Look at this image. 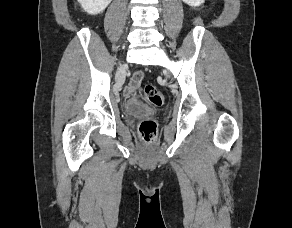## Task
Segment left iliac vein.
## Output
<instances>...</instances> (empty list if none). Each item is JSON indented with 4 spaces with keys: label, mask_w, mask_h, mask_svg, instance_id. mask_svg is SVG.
Returning a JSON list of instances; mask_svg holds the SVG:
<instances>
[{
    "label": "left iliac vein",
    "mask_w": 292,
    "mask_h": 228,
    "mask_svg": "<svg viewBox=\"0 0 292 228\" xmlns=\"http://www.w3.org/2000/svg\"><path fill=\"white\" fill-rule=\"evenodd\" d=\"M165 74H166L167 76H169V74H168L167 72H165Z\"/></svg>",
    "instance_id": "obj_1"
}]
</instances>
